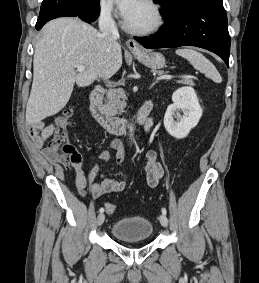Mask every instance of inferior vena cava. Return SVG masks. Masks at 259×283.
Wrapping results in <instances>:
<instances>
[{
    "label": "inferior vena cava",
    "instance_id": "602c4592",
    "mask_svg": "<svg viewBox=\"0 0 259 283\" xmlns=\"http://www.w3.org/2000/svg\"><path fill=\"white\" fill-rule=\"evenodd\" d=\"M98 23L99 29L101 31V36L109 49H111V47L116 43V40L119 37V33L115 21L112 18L110 7L103 6L101 8Z\"/></svg>",
    "mask_w": 259,
    "mask_h": 283
}]
</instances>
